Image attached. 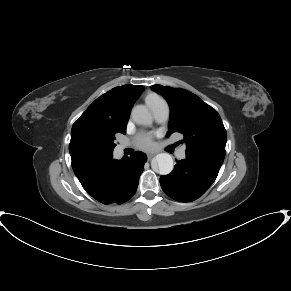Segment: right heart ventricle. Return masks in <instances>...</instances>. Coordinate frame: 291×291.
Instances as JSON below:
<instances>
[{
	"label": "right heart ventricle",
	"instance_id": "obj_1",
	"mask_svg": "<svg viewBox=\"0 0 291 291\" xmlns=\"http://www.w3.org/2000/svg\"><path fill=\"white\" fill-rule=\"evenodd\" d=\"M161 99L160 96H158L157 94H154V93H149L147 96H146V104L148 105V107L150 108V106L156 102L157 100Z\"/></svg>",
	"mask_w": 291,
	"mask_h": 291
}]
</instances>
